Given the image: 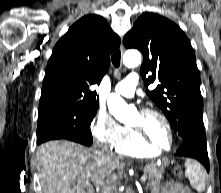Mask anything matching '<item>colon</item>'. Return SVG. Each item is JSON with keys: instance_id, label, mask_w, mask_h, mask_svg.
Segmentation results:
<instances>
[{"instance_id": "colon-1", "label": "colon", "mask_w": 221, "mask_h": 193, "mask_svg": "<svg viewBox=\"0 0 221 193\" xmlns=\"http://www.w3.org/2000/svg\"><path fill=\"white\" fill-rule=\"evenodd\" d=\"M174 174H175V176H177V177L180 178V177L182 176V171H181V169H180L179 167L175 168V169H174ZM187 193H192L189 188L187 189Z\"/></svg>"}]
</instances>
